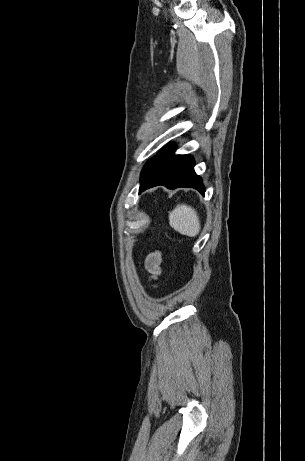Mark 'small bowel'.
Masks as SVG:
<instances>
[{
	"label": "small bowel",
	"instance_id": "obj_1",
	"mask_svg": "<svg viewBox=\"0 0 305 461\" xmlns=\"http://www.w3.org/2000/svg\"><path fill=\"white\" fill-rule=\"evenodd\" d=\"M145 268L151 277L155 278L163 273L162 268V253L154 251L145 259Z\"/></svg>",
	"mask_w": 305,
	"mask_h": 461
}]
</instances>
